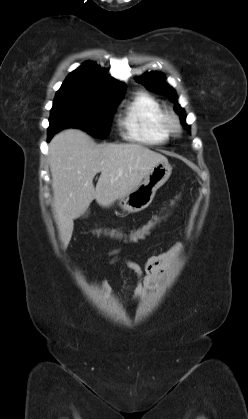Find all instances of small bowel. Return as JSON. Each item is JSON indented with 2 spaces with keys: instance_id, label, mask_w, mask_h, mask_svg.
Masks as SVG:
<instances>
[{
  "instance_id": "1",
  "label": "small bowel",
  "mask_w": 248,
  "mask_h": 419,
  "mask_svg": "<svg viewBox=\"0 0 248 419\" xmlns=\"http://www.w3.org/2000/svg\"><path fill=\"white\" fill-rule=\"evenodd\" d=\"M147 225L135 229L129 233V238L132 241H138L145 238L151 230L146 228ZM183 250V245L181 243L175 244L168 251L152 256L148 258L145 262L144 268L142 269L138 264L133 261L119 258L117 254L120 250H114L110 253L112 258L109 261V264L124 263L127 265L139 279V282L135 289L134 299L140 300L143 299L149 292L153 291L159 279L166 273V271L171 267L177 257ZM109 285L106 280L102 283V292H108Z\"/></svg>"
}]
</instances>
